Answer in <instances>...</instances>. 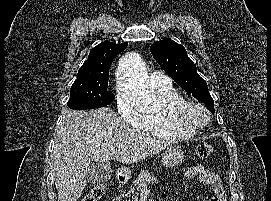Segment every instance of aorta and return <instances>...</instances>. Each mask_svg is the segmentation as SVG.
<instances>
[{
	"instance_id": "1",
	"label": "aorta",
	"mask_w": 271,
	"mask_h": 201,
	"mask_svg": "<svg viewBox=\"0 0 271 201\" xmlns=\"http://www.w3.org/2000/svg\"><path fill=\"white\" fill-rule=\"evenodd\" d=\"M117 76L133 103L147 109L157 107V98L149 87L144 63L137 53L130 52L120 58Z\"/></svg>"
}]
</instances>
